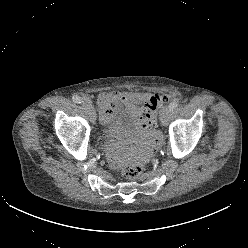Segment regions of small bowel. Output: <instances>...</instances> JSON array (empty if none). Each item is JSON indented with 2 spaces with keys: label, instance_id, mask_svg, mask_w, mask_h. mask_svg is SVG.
Returning a JSON list of instances; mask_svg holds the SVG:
<instances>
[{
  "label": "small bowel",
  "instance_id": "1",
  "mask_svg": "<svg viewBox=\"0 0 248 248\" xmlns=\"http://www.w3.org/2000/svg\"><path fill=\"white\" fill-rule=\"evenodd\" d=\"M151 97L149 94L141 92H103L97 99L100 120L102 123L108 124L122 109L130 120L137 121L146 111ZM149 128L142 122L138 141L142 152L153 151L160 143L158 132ZM107 155L112 165L118 164L120 157L114 148H109Z\"/></svg>",
  "mask_w": 248,
  "mask_h": 248
}]
</instances>
